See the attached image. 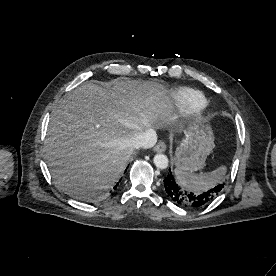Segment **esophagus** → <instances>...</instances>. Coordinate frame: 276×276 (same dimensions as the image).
I'll use <instances>...</instances> for the list:
<instances>
[{"instance_id": "1", "label": "esophagus", "mask_w": 276, "mask_h": 276, "mask_svg": "<svg viewBox=\"0 0 276 276\" xmlns=\"http://www.w3.org/2000/svg\"><path fill=\"white\" fill-rule=\"evenodd\" d=\"M154 150L156 152H164L166 150V144L160 141L155 147Z\"/></svg>"}]
</instances>
